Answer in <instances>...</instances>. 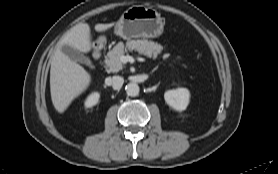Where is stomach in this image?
<instances>
[{
	"mask_svg": "<svg viewBox=\"0 0 278 174\" xmlns=\"http://www.w3.org/2000/svg\"><path fill=\"white\" fill-rule=\"evenodd\" d=\"M164 22L154 9L141 5L129 7L116 23L115 33L123 39L156 38L163 32Z\"/></svg>",
	"mask_w": 278,
	"mask_h": 174,
	"instance_id": "0dacf381",
	"label": "stomach"
}]
</instances>
